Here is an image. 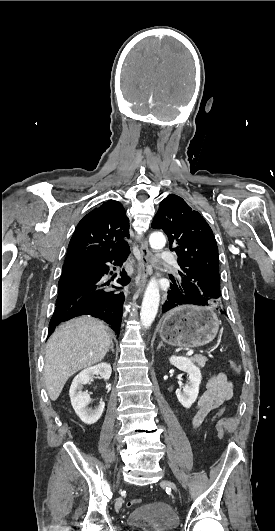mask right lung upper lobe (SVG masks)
Instances as JSON below:
<instances>
[{
  "mask_svg": "<svg viewBox=\"0 0 275 531\" xmlns=\"http://www.w3.org/2000/svg\"><path fill=\"white\" fill-rule=\"evenodd\" d=\"M129 219L120 202L108 200L85 215L70 240L65 261L98 257L128 247Z\"/></svg>",
  "mask_w": 275,
  "mask_h": 531,
  "instance_id": "right-lung-upper-lobe-1",
  "label": "right lung upper lobe"
}]
</instances>
